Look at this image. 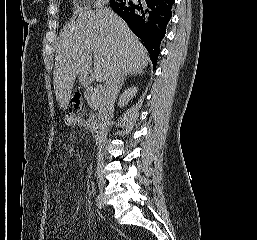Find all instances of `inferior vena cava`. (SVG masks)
I'll return each instance as SVG.
<instances>
[{
	"label": "inferior vena cava",
	"instance_id": "obj_1",
	"mask_svg": "<svg viewBox=\"0 0 257 240\" xmlns=\"http://www.w3.org/2000/svg\"><path fill=\"white\" fill-rule=\"evenodd\" d=\"M123 76L121 67L116 64L102 88L103 102L101 105V147L105 144L110 118L114 109V103L119 92L121 78ZM103 168V155L98 154L97 172Z\"/></svg>",
	"mask_w": 257,
	"mask_h": 240
}]
</instances>
